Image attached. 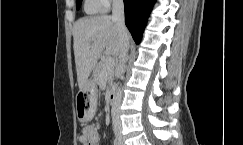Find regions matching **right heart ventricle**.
Segmentation results:
<instances>
[{"label":"right heart ventricle","mask_w":243,"mask_h":145,"mask_svg":"<svg viewBox=\"0 0 243 145\" xmlns=\"http://www.w3.org/2000/svg\"><path fill=\"white\" fill-rule=\"evenodd\" d=\"M84 9L87 14H97L103 11L104 6L100 0H85Z\"/></svg>","instance_id":"e07e8e85"}]
</instances>
